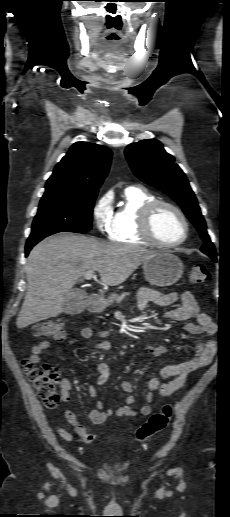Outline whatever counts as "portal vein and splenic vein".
Masks as SVG:
<instances>
[{
    "label": "portal vein and splenic vein",
    "instance_id": "obj_1",
    "mask_svg": "<svg viewBox=\"0 0 230 517\" xmlns=\"http://www.w3.org/2000/svg\"><path fill=\"white\" fill-rule=\"evenodd\" d=\"M93 276H94V272L93 271H88V272L85 273L84 278L86 280H90Z\"/></svg>",
    "mask_w": 230,
    "mask_h": 517
}]
</instances>
